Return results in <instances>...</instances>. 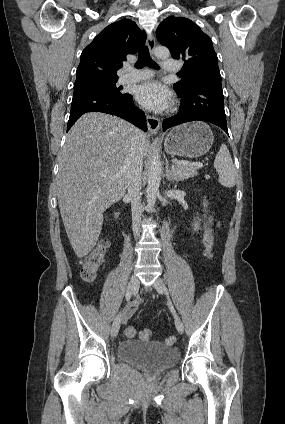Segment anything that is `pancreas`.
Wrapping results in <instances>:
<instances>
[{
    "mask_svg": "<svg viewBox=\"0 0 285 424\" xmlns=\"http://www.w3.org/2000/svg\"><path fill=\"white\" fill-rule=\"evenodd\" d=\"M172 179L181 181L197 175V170L190 164H175L172 167Z\"/></svg>",
    "mask_w": 285,
    "mask_h": 424,
    "instance_id": "cf45deb5",
    "label": "pancreas"
}]
</instances>
